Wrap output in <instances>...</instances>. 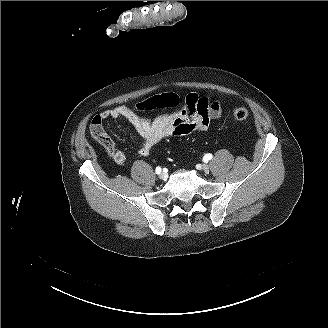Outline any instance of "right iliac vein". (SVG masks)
<instances>
[{
	"label": "right iliac vein",
	"mask_w": 328,
	"mask_h": 328,
	"mask_svg": "<svg viewBox=\"0 0 328 328\" xmlns=\"http://www.w3.org/2000/svg\"><path fill=\"white\" fill-rule=\"evenodd\" d=\"M159 178L161 180H166L167 179V174L165 172H162V173L159 174Z\"/></svg>",
	"instance_id": "63e3f726"
}]
</instances>
